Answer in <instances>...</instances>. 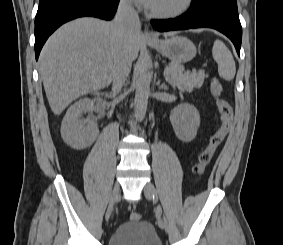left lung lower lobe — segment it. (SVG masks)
<instances>
[{"label": "left lung lower lobe", "mask_w": 283, "mask_h": 245, "mask_svg": "<svg viewBox=\"0 0 283 245\" xmlns=\"http://www.w3.org/2000/svg\"><path fill=\"white\" fill-rule=\"evenodd\" d=\"M151 24L160 32L200 27L216 29L230 38L240 56L242 27L238 15L219 11L188 10L174 19L151 20Z\"/></svg>", "instance_id": "obj_1"}]
</instances>
